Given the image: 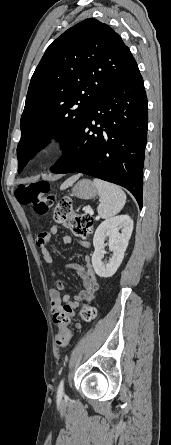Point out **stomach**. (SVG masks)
Listing matches in <instances>:
<instances>
[{"instance_id": "obj_1", "label": "stomach", "mask_w": 171, "mask_h": 445, "mask_svg": "<svg viewBox=\"0 0 171 445\" xmlns=\"http://www.w3.org/2000/svg\"><path fill=\"white\" fill-rule=\"evenodd\" d=\"M98 194V189L89 179H83L77 182V184L72 189V196L89 200L96 197Z\"/></svg>"}]
</instances>
